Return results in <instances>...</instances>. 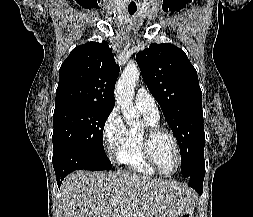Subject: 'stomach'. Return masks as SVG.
<instances>
[{
    "mask_svg": "<svg viewBox=\"0 0 253 217\" xmlns=\"http://www.w3.org/2000/svg\"><path fill=\"white\" fill-rule=\"evenodd\" d=\"M176 217H194L193 207L188 205H182Z\"/></svg>",
    "mask_w": 253,
    "mask_h": 217,
    "instance_id": "obj_1",
    "label": "stomach"
}]
</instances>
